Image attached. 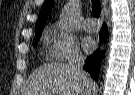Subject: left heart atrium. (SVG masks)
Masks as SVG:
<instances>
[{"instance_id":"left-heart-atrium-1","label":"left heart atrium","mask_w":135,"mask_h":95,"mask_svg":"<svg viewBox=\"0 0 135 95\" xmlns=\"http://www.w3.org/2000/svg\"><path fill=\"white\" fill-rule=\"evenodd\" d=\"M83 48L87 53H91L96 48V42L91 37H85L83 39Z\"/></svg>"}]
</instances>
